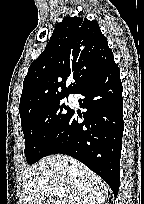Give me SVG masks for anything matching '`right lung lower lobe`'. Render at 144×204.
<instances>
[{"instance_id": "98d812e1", "label": "right lung lower lobe", "mask_w": 144, "mask_h": 204, "mask_svg": "<svg viewBox=\"0 0 144 204\" xmlns=\"http://www.w3.org/2000/svg\"><path fill=\"white\" fill-rule=\"evenodd\" d=\"M76 93L83 95L79 104L87 111L72 110L45 156L60 153L76 158L104 179L117 196L124 122L122 83L114 60Z\"/></svg>"}]
</instances>
